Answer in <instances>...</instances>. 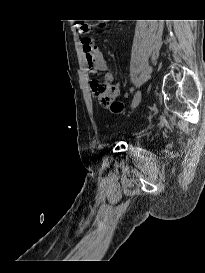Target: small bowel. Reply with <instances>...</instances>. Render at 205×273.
Returning <instances> with one entry per match:
<instances>
[{
	"mask_svg": "<svg viewBox=\"0 0 205 273\" xmlns=\"http://www.w3.org/2000/svg\"><path fill=\"white\" fill-rule=\"evenodd\" d=\"M88 69L91 74L104 73L108 82H113V75L108 72V64L103 53L99 50L95 41L88 37L80 40Z\"/></svg>",
	"mask_w": 205,
	"mask_h": 273,
	"instance_id": "obj_1",
	"label": "small bowel"
}]
</instances>
